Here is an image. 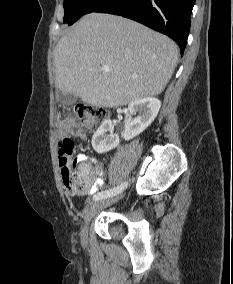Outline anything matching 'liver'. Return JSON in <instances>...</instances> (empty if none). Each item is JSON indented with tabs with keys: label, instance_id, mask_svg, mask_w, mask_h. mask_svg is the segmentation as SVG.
Returning <instances> with one entry per match:
<instances>
[{
	"label": "liver",
	"instance_id": "1",
	"mask_svg": "<svg viewBox=\"0 0 233 284\" xmlns=\"http://www.w3.org/2000/svg\"><path fill=\"white\" fill-rule=\"evenodd\" d=\"M167 36L135 21L90 13L73 25L54 51L56 87L82 101L117 108L159 95L178 61ZM103 65L109 71H102Z\"/></svg>",
	"mask_w": 233,
	"mask_h": 284
}]
</instances>
